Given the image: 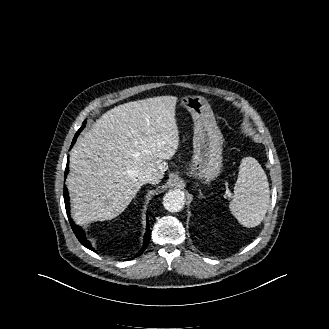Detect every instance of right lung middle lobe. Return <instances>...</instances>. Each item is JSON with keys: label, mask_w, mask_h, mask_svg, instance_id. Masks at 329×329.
Segmentation results:
<instances>
[{"label": "right lung middle lobe", "mask_w": 329, "mask_h": 329, "mask_svg": "<svg viewBox=\"0 0 329 329\" xmlns=\"http://www.w3.org/2000/svg\"><path fill=\"white\" fill-rule=\"evenodd\" d=\"M84 126H85V122H83L82 126L80 127V129L78 130V132L75 134V137H74V139H73V141H72V144L74 143L75 138H77L79 132L83 129Z\"/></svg>", "instance_id": "right-lung-middle-lobe-1"}]
</instances>
